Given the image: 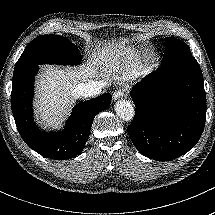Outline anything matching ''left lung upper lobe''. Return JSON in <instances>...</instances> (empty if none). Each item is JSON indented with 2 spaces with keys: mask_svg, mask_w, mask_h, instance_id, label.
<instances>
[{
  "mask_svg": "<svg viewBox=\"0 0 215 215\" xmlns=\"http://www.w3.org/2000/svg\"><path fill=\"white\" fill-rule=\"evenodd\" d=\"M164 45L166 46V50L162 59V65L193 57L189 46L179 39L171 37L164 38Z\"/></svg>",
  "mask_w": 215,
  "mask_h": 215,
  "instance_id": "obj_1",
  "label": "left lung upper lobe"
}]
</instances>
